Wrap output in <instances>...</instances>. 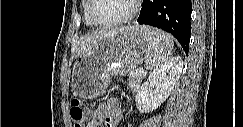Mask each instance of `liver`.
Returning <instances> with one entry per match:
<instances>
[{"instance_id":"liver-1","label":"liver","mask_w":243,"mask_h":127,"mask_svg":"<svg viewBox=\"0 0 243 127\" xmlns=\"http://www.w3.org/2000/svg\"><path fill=\"white\" fill-rule=\"evenodd\" d=\"M126 28H130V27L115 28V29H111V30H106V29L96 30V31L92 32L91 34L83 36L79 43L78 55L81 56V55H84L85 53H87L98 40H100L104 37H107L109 35H113L116 32L124 30Z\"/></svg>"}]
</instances>
